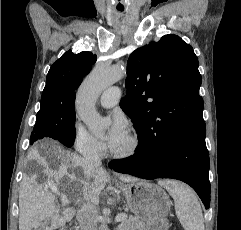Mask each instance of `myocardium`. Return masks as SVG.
Wrapping results in <instances>:
<instances>
[{"mask_svg": "<svg viewBox=\"0 0 241 230\" xmlns=\"http://www.w3.org/2000/svg\"><path fill=\"white\" fill-rule=\"evenodd\" d=\"M129 144L125 150L115 151L111 150L110 153L113 157L117 159H128L133 157L140 148V140L138 136L134 133L128 134Z\"/></svg>", "mask_w": 241, "mask_h": 230, "instance_id": "obj_1", "label": "myocardium"}]
</instances>
